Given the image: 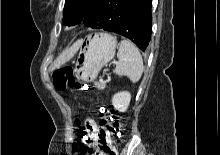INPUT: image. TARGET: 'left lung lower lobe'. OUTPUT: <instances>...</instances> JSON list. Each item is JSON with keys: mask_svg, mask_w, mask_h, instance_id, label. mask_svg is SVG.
<instances>
[{"mask_svg": "<svg viewBox=\"0 0 220 155\" xmlns=\"http://www.w3.org/2000/svg\"><path fill=\"white\" fill-rule=\"evenodd\" d=\"M151 0H98L83 22L93 29L120 34L133 41L142 51L151 39Z\"/></svg>", "mask_w": 220, "mask_h": 155, "instance_id": "obj_1", "label": "left lung lower lobe"}]
</instances>
